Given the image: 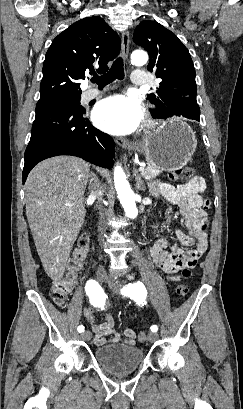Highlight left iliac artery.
Instances as JSON below:
<instances>
[{
    "label": "left iliac artery",
    "instance_id": "1",
    "mask_svg": "<svg viewBox=\"0 0 243 409\" xmlns=\"http://www.w3.org/2000/svg\"><path fill=\"white\" fill-rule=\"evenodd\" d=\"M121 293L125 296H129L130 298L134 300L144 299L147 294L145 286L140 282L134 283V284H131V283L128 284L127 286L123 287V289L121 290ZM150 329L152 332L155 333L157 332L158 327L157 325H152Z\"/></svg>",
    "mask_w": 243,
    "mask_h": 409
}]
</instances>
